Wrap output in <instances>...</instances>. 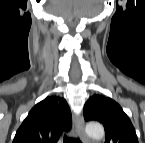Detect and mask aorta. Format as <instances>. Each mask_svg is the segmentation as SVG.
<instances>
[{
    "label": "aorta",
    "instance_id": "1",
    "mask_svg": "<svg viewBox=\"0 0 145 143\" xmlns=\"http://www.w3.org/2000/svg\"><path fill=\"white\" fill-rule=\"evenodd\" d=\"M86 133L95 139H102L104 136V128L101 124L90 122L86 125Z\"/></svg>",
    "mask_w": 145,
    "mask_h": 143
}]
</instances>
